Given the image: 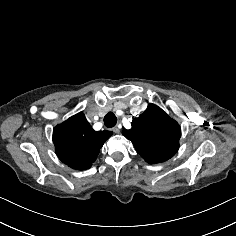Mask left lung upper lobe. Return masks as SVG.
<instances>
[{"label":"left lung upper lobe","mask_w":236,"mask_h":236,"mask_svg":"<svg viewBox=\"0 0 236 236\" xmlns=\"http://www.w3.org/2000/svg\"><path fill=\"white\" fill-rule=\"evenodd\" d=\"M122 134L132 141L146 162L155 164L170 159L178 151L181 129L161 108L149 104L143 114L133 119L132 128L124 129Z\"/></svg>","instance_id":"5c2ea615"}]
</instances>
